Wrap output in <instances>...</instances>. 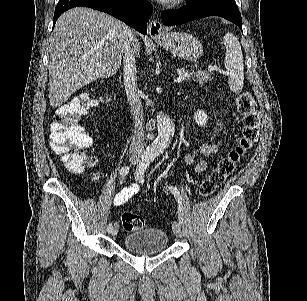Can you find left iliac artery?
<instances>
[{
	"mask_svg": "<svg viewBox=\"0 0 307 301\" xmlns=\"http://www.w3.org/2000/svg\"><path fill=\"white\" fill-rule=\"evenodd\" d=\"M151 161H152V158L145 159L142 162H140L139 165L137 166L136 177H137L139 182L143 183L144 172H145L147 166L150 164ZM168 188L171 191V193L173 194V196L176 198V200L179 204V212H180L179 213V222L182 223L183 218H182V214H181V209H182L181 194H180V192H179V190L176 186L170 185Z\"/></svg>",
	"mask_w": 307,
	"mask_h": 301,
	"instance_id": "1",
	"label": "left iliac artery"
}]
</instances>
